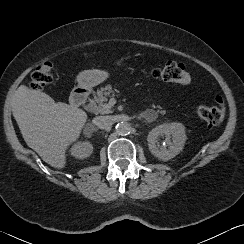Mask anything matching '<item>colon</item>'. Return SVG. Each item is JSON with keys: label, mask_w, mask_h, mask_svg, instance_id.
<instances>
[{"label": "colon", "mask_w": 244, "mask_h": 244, "mask_svg": "<svg viewBox=\"0 0 244 244\" xmlns=\"http://www.w3.org/2000/svg\"><path fill=\"white\" fill-rule=\"evenodd\" d=\"M53 65L45 62L38 66L31 75V87L43 89L53 81ZM153 78L163 82L187 86L192 83V77L185 67L177 62L169 61L152 69ZM201 120L210 125H219L226 113V106L221 96H216L212 105H201L197 110Z\"/></svg>", "instance_id": "colon-1"}]
</instances>
